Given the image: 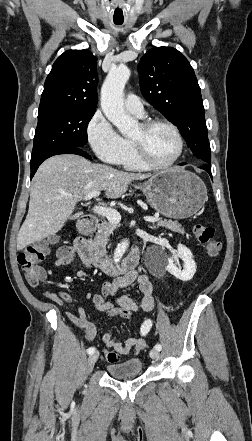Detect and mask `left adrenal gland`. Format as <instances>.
I'll return each mask as SVG.
<instances>
[{
    "label": "left adrenal gland",
    "instance_id": "1",
    "mask_svg": "<svg viewBox=\"0 0 252 441\" xmlns=\"http://www.w3.org/2000/svg\"><path fill=\"white\" fill-rule=\"evenodd\" d=\"M150 228H151V229H156L157 227H156V226H150Z\"/></svg>",
    "mask_w": 252,
    "mask_h": 441
}]
</instances>
